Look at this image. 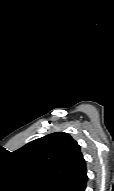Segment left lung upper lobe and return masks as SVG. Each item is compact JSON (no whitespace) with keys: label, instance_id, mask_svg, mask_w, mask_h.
Returning a JSON list of instances; mask_svg holds the SVG:
<instances>
[{"label":"left lung upper lobe","instance_id":"left-lung-upper-lobe-1","mask_svg":"<svg viewBox=\"0 0 114 191\" xmlns=\"http://www.w3.org/2000/svg\"><path fill=\"white\" fill-rule=\"evenodd\" d=\"M13 155L20 170L43 191H66L86 167L80 146L63 132L31 141Z\"/></svg>","mask_w":114,"mask_h":191}]
</instances>
